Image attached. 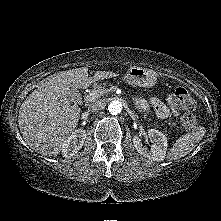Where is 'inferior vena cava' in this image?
Here are the masks:
<instances>
[{"mask_svg": "<svg viewBox=\"0 0 221 221\" xmlns=\"http://www.w3.org/2000/svg\"><path fill=\"white\" fill-rule=\"evenodd\" d=\"M105 107V103L102 100L95 101L94 103H91L88 107L89 111L97 112Z\"/></svg>", "mask_w": 221, "mask_h": 221, "instance_id": "obj_1", "label": "inferior vena cava"}]
</instances>
